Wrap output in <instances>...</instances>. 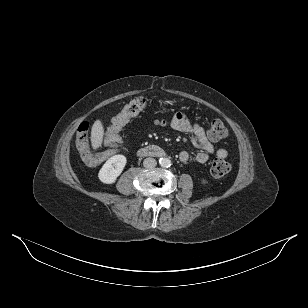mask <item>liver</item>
Returning a JSON list of instances; mask_svg holds the SVG:
<instances>
[{
    "instance_id": "liver-1",
    "label": "liver",
    "mask_w": 308,
    "mask_h": 308,
    "mask_svg": "<svg viewBox=\"0 0 308 308\" xmlns=\"http://www.w3.org/2000/svg\"><path fill=\"white\" fill-rule=\"evenodd\" d=\"M104 136V127L102 122L98 119L94 122L91 129V145L94 150L101 146Z\"/></svg>"
}]
</instances>
